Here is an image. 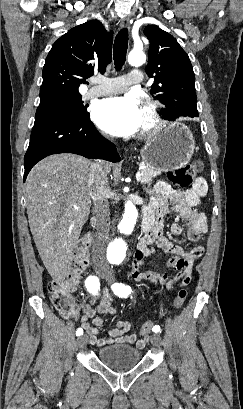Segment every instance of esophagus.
<instances>
[{
	"instance_id": "esophagus-1",
	"label": "esophagus",
	"mask_w": 243,
	"mask_h": 409,
	"mask_svg": "<svg viewBox=\"0 0 243 409\" xmlns=\"http://www.w3.org/2000/svg\"><path fill=\"white\" fill-rule=\"evenodd\" d=\"M121 28H128L129 27V18L125 17L121 20L120 23Z\"/></svg>"
}]
</instances>
